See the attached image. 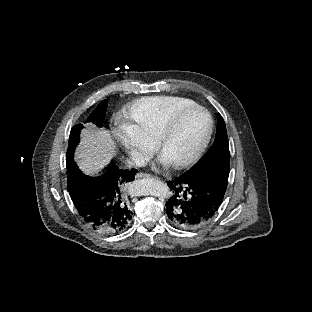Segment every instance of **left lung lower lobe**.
Wrapping results in <instances>:
<instances>
[{
	"instance_id": "left-lung-lower-lobe-1",
	"label": "left lung lower lobe",
	"mask_w": 312,
	"mask_h": 312,
	"mask_svg": "<svg viewBox=\"0 0 312 312\" xmlns=\"http://www.w3.org/2000/svg\"><path fill=\"white\" fill-rule=\"evenodd\" d=\"M230 167L215 165L194 173H184L169 181L174 195L166 202L170 221L184 229L205 225L218 212L223 201Z\"/></svg>"
}]
</instances>
